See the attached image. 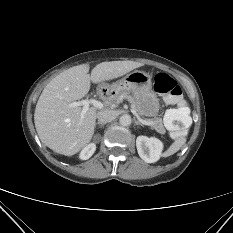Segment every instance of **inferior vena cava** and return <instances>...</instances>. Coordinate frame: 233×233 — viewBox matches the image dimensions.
<instances>
[{"instance_id":"obj_1","label":"inferior vena cava","mask_w":233,"mask_h":233,"mask_svg":"<svg viewBox=\"0 0 233 233\" xmlns=\"http://www.w3.org/2000/svg\"><path fill=\"white\" fill-rule=\"evenodd\" d=\"M97 118L99 123L106 124L116 118V112L113 110L100 111L97 114Z\"/></svg>"}]
</instances>
